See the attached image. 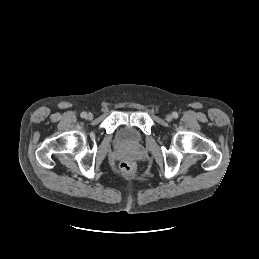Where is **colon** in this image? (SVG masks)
<instances>
[{
    "instance_id": "colon-1",
    "label": "colon",
    "mask_w": 259,
    "mask_h": 259,
    "mask_svg": "<svg viewBox=\"0 0 259 259\" xmlns=\"http://www.w3.org/2000/svg\"><path fill=\"white\" fill-rule=\"evenodd\" d=\"M120 170L125 174H130L134 171V164L129 160H124L120 163Z\"/></svg>"
}]
</instances>
